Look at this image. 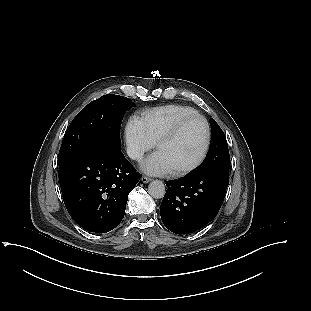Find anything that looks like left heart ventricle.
Here are the masks:
<instances>
[{
  "label": "left heart ventricle",
  "instance_id": "b2bd125f",
  "mask_svg": "<svg viewBox=\"0 0 311 311\" xmlns=\"http://www.w3.org/2000/svg\"><path fill=\"white\" fill-rule=\"evenodd\" d=\"M205 139L204 125L200 120L186 124L179 134L158 146L172 171L192 163L201 152Z\"/></svg>",
  "mask_w": 311,
  "mask_h": 311
}]
</instances>
